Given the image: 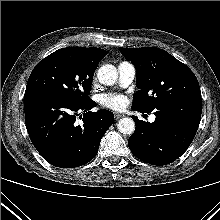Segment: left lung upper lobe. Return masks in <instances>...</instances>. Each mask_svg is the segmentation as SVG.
<instances>
[{
	"label": "left lung upper lobe",
	"instance_id": "5c2ea615",
	"mask_svg": "<svg viewBox=\"0 0 220 220\" xmlns=\"http://www.w3.org/2000/svg\"><path fill=\"white\" fill-rule=\"evenodd\" d=\"M136 68L132 109L151 112L174 101L200 97L198 80L185 64L160 48H120Z\"/></svg>",
	"mask_w": 220,
	"mask_h": 220
}]
</instances>
